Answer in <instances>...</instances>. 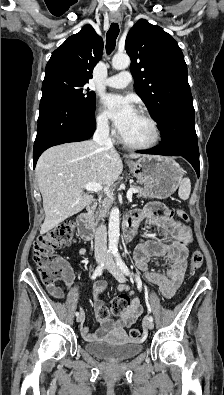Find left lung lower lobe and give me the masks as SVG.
Here are the masks:
<instances>
[{
    "mask_svg": "<svg viewBox=\"0 0 224 395\" xmlns=\"http://www.w3.org/2000/svg\"><path fill=\"white\" fill-rule=\"evenodd\" d=\"M193 105L171 109L159 125L162 135L160 146L149 150L138 151L143 154L165 156H181L194 167L198 177L200 174L199 149L195 131V114Z\"/></svg>",
    "mask_w": 224,
    "mask_h": 395,
    "instance_id": "left-lung-lower-lobe-1",
    "label": "left lung lower lobe"
}]
</instances>
